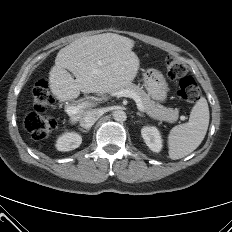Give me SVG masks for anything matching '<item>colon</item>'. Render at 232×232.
<instances>
[{"label":"colon","mask_w":232,"mask_h":232,"mask_svg":"<svg viewBox=\"0 0 232 232\" xmlns=\"http://www.w3.org/2000/svg\"><path fill=\"white\" fill-rule=\"evenodd\" d=\"M164 64L169 78H180L178 96L186 102L198 101L201 95L200 88L193 77L186 75L185 64L173 55L167 56ZM32 96L34 111L26 116L24 126L34 139L42 140L47 138L55 128V120L43 114L48 108L54 106L55 99L43 80L33 86Z\"/></svg>","instance_id":"colon-1"}]
</instances>
